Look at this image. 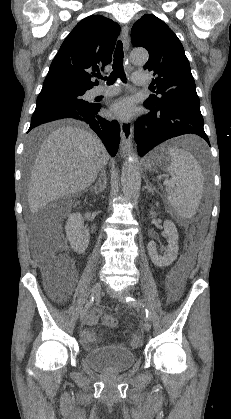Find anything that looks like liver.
Wrapping results in <instances>:
<instances>
[{
  "mask_svg": "<svg viewBox=\"0 0 231 419\" xmlns=\"http://www.w3.org/2000/svg\"><path fill=\"white\" fill-rule=\"evenodd\" d=\"M44 130L51 132L36 155L28 186L33 213L51 201L87 190L110 158L101 140L87 130L50 124L33 130L31 139Z\"/></svg>",
  "mask_w": 231,
  "mask_h": 419,
  "instance_id": "obj_1",
  "label": "liver"
}]
</instances>
